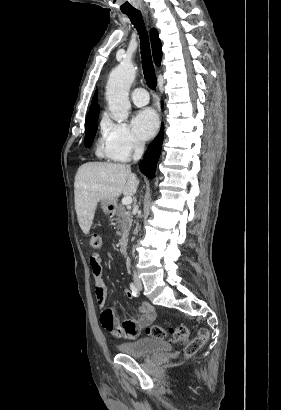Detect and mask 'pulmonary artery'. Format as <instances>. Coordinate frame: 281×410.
Segmentation results:
<instances>
[{
    "label": "pulmonary artery",
    "mask_w": 281,
    "mask_h": 410,
    "mask_svg": "<svg viewBox=\"0 0 281 410\" xmlns=\"http://www.w3.org/2000/svg\"><path fill=\"white\" fill-rule=\"evenodd\" d=\"M131 99L136 106H144L149 103V95L144 88H136L131 93Z\"/></svg>",
    "instance_id": "1"
}]
</instances>
